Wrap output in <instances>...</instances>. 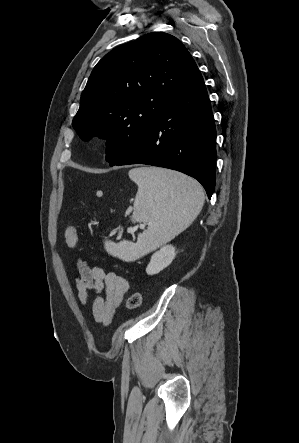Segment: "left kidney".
I'll use <instances>...</instances> for the list:
<instances>
[{
    "mask_svg": "<svg viewBox=\"0 0 299 443\" xmlns=\"http://www.w3.org/2000/svg\"><path fill=\"white\" fill-rule=\"evenodd\" d=\"M176 252L172 245L163 246L159 251L155 252L150 259L146 268L148 275H154L162 271L171 264L175 258Z\"/></svg>",
    "mask_w": 299,
    "mask_h": 443,
    "instance_id": "left-kidney-1",
    "label": "left kidney"
}]
</instances>
